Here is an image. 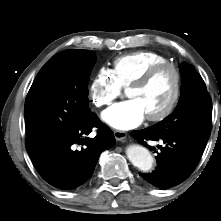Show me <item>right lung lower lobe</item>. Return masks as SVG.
Here are the masks:
<instances>
[{"label":"right lung lower lobe","mask_w":221,"mask_h":221,"mask_svg":"<svg viewBox=\"0 0 221 221\" xmlns=\"http://www.w3.org/2000/svg\"><path fill=\"white\" fill-rule=\"evenodd\" d=\"M93 127L98 128L95 138L85 137ZM76 144L83 147L76 149ZM25 145L41 177L56 188L70 190L92 176L100 153L113 147L115 138L112 131L91 113L69 136L26 139Z\"/></svg>","instance_id":"right-lung-lower-lobe-1"}]
</instances>
